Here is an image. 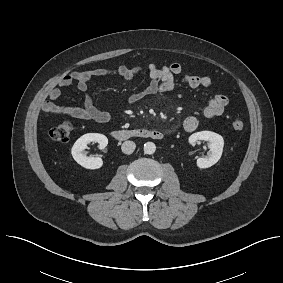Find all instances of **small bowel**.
<instances>
[{"mask_svg":"<svg viewBox=\"0 0 283 283\" xmlns=\"http://www.w3.org/2000/svg\"><path fill=\"white\" fill-rule=\"evenodd\" d=\"M150 77V83L142 90L129 96L127 103L134 105L147 95L167 92L174 88L175 77L183 72V68L179 63H172L168 66H157L153 63L144 67ZM143 67H129L121 65L116 68H97L90 71H76L63 76L57 86L49 92V99L43 104L44 113L65 115L76 119L90 120L99 123L108 122L111 114L107 111L98 109L89 93V83L95 78L118 77L123 79H132L137 76ZM184 82L190 88H210L212 80L205 75H186ZM77 85L79 91L84 94L82 107L63 106L56 103L60 98L62 89ZM228 97L224 94H215L207 100V104L203 110V117L211 119L223 114L228 105ZM199 120L196 116H188L183 121V128L188 132L197 129Z\"/></svg>","mask_w":283,"mask_h":283,"instance_id":"obj_1","label":"small bowel"}]
</instances>
